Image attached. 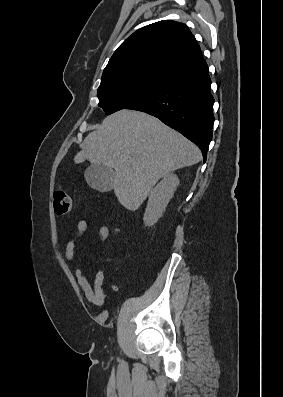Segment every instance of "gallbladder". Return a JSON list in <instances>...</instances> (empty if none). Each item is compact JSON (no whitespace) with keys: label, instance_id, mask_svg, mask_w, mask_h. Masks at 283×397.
<instances>
[{"label":"gallbladder","instance_id":"obj_1","mask_svg":"<svg viewBox=\"0 0 283 397\" xmlns=\"http://www.w3.org/2000/svg\"><path fill=\"white\" fill-rule=\"evenodd\" d=\"M115 173L112 168L101 163L92 164L84 174L87 184L99 192H109L113 188Z\"/></svg>","mask_w":283,"mask_h":397}]
</instances>
